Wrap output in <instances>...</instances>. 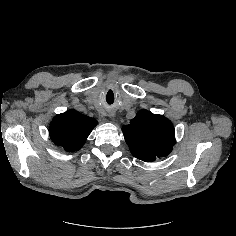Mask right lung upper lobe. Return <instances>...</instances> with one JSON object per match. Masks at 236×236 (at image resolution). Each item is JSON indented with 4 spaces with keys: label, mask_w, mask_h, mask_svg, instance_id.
I'll return each mask as SVG.
<instances>
[{
    "label": "right lung upper lobe",
    "mask_w": 236,
    "mask_h": 236,
    "mask_svg": "<svg viewBox=\"0 0 236 236\" xmlns=\"http://www.w3.org/2000/svg\"><path fill=\"white\" fill-rule=\"evenodd\" d=\"M97 123L91 117L75 110H68L55 116L52 120L50 124L51 139L66 151H77Z\"/></svg>",
    "instance_id": "1"
}]
</instances>
